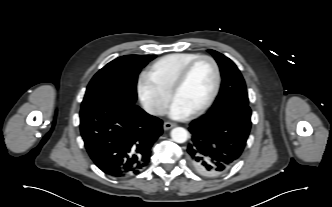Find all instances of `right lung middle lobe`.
<instances>
[{"label": "right lung middle lobe", "mask_w": 332, "mask_h": 207, "mask_svg": "<svg viewBox=\"0 0 332 207\" xmlns=\"http://www.w3.org/2000/svg\"><path fill=\"white\" fill-rule=\"evenodd\" d=\"M155 57V55H126L105 65L90 81L81 108L107 101L135 104L138 74Z\"/></svg>", "instance_id": "right-lung-middle-lobe-1"}]
</instances>
